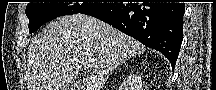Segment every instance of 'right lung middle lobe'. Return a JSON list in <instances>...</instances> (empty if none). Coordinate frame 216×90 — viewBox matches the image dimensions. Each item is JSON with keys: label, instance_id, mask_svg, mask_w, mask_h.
<instances>
[{"label": "right lung middle lobe", "instance_id": "1", "mask_svg": "<svg viewBox=\"0 0 216 90\" xmlns=\"http://www.w3.org/2000/svg\"><path fill=\"white\" fill-rule=\"evenodd\" d=\"M103 4L105 3H29L26 7L29 32H35L42 24L59 16L82 13Z\"/></svg>", "mask_w": 216, "mask_h": 90}]
</instances>
